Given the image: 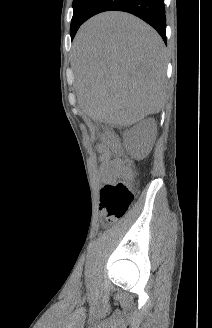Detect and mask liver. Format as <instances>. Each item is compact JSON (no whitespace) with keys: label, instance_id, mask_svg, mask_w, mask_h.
Here are the masks:
<instances>
[{"label":"liver","instance_id":"1","mask_svg":"<svg viewBox=\"0 0 212 328\" xmlns=\"http://www.w3.org/2000/svg\"><path fill=\"white\" fill-rule=\"evenodd\" d=\"M72 67L79 108L95 122L127 127L163 108L165 46L133 15L109 11L85 22Z\"/></svg>","mask_w":212,"mask_h":328}]
</instances>
